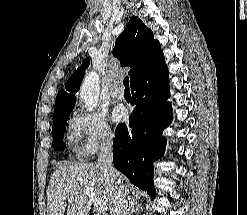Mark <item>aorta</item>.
<instances>
[{
	"label": "aorta",
	"mask_w": 247,
	"mask_h": 215,
	"mask_svg": "<svg viewBox=\"0 0 247 215\" xmlns=\"http://www.w3.org/2000/svg\"><path fill=\"white\" fill-rule=\"evenodd\" d=\"M99 91V75L95 72L88 73L85 76L80 89V98L88 111H93L97 107Z\"/></svg>",
	"instance_id": "762f6f07"
}]
</instances>
